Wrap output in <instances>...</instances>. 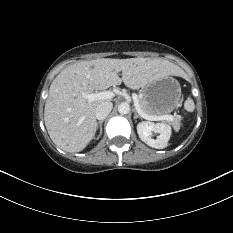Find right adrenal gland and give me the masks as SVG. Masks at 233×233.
I'll return each instance as SVG.
<instances>
[{"instance_id": "right-adrenal-gland-1", "label": "right adrenal gland", "mask_w": 233, "mask_h": 233, "mask_svg": "<svg viewBox=\"0 0 233 233\" xmlns=\"http://www.w3.org/2000/svg\"><path fill=\"white\" fill-rule=\"evenodd\" d=\"M103 120H101V121H99L98 123H97V127H99V129H100V132H99V135H98V137L97 138H99L101 135H102V124H103Z\"/></svg>"}]
</instances>
